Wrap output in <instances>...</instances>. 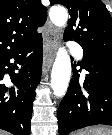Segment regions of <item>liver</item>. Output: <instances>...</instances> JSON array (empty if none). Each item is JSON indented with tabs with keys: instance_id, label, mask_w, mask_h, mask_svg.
Wrapping results in <instances>:
<instances>
[{
	"instance_id": "obj_1",
	"label": "liver",
	"mask_w": 112,
	"mask_h": 135,
	"mask_svg": "<svg viewBox=\"0 0 112 135\" xmlns=\"http://www.w3.org/2000/svg\"><path fill=\"white\" fill-rule=\"evenodd\" d=\"M0 135H8L6 132L0 130Z\"/></svg>"
}]
</instances>
